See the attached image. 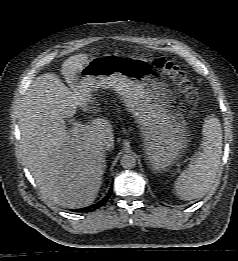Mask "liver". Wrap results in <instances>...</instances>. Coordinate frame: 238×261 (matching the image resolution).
I'll return each instance as SVG.
<instances>
[{"instance_id": "6515ba94", "label": "liver", "mask_w": 238, "mask_h": 261, "mask_svg": "<svg viewBox=\"0 0 238 261\" xmlns=\"http://www.w3.org/2000/svg\"><path fill=\"white\" fill-rule=\"evenodd\" d=\"M87 54L66 59L61 68L69 88L55 73L38 76L23 96L19 110L21 152L44 198L66 208H81L95 200L106 169L102 144L114 148V135L105 118L92 120L79 134L67 130L64 119L81 107L89 111L92 98L75 86Z\"/></svg>"}]
</instances>
